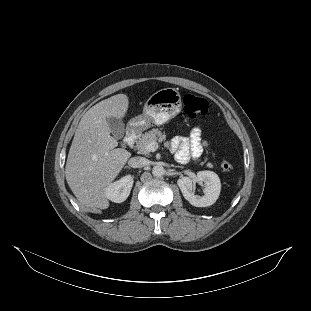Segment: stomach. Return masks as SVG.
I'll list each match as a JSON object with an SVG mask.
<instances>
[{
  "label": "stomach",
  "instance_id": "obj_1",
  "mask_svg": "<svg viewBox=\"0 0 311 311\" xmlns=\"http://www.w3.org/2000/svg\"><path fill=\"white\" fill-rule=\"evenodd\" d=\"M182 110L181 94L175 88H163L153 93L144 103L143 113L131 118L127 126L145 131L151 124L163 125L175 118Z\"/></svg>",
  "mask_w": 311,
  "mask_h": 311
}]
</instances>
